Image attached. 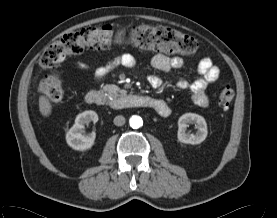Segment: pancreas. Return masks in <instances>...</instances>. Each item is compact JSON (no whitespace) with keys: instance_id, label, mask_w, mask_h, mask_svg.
<instances>
[{"instance_id":"pancreas-1","label":"pancreas","mask_w":277,"mask_h":218,"mask_svg":"<svg viewBox=\"0 0 277 218\" xmlns=\"http://www.w3.org/2000/svg\"><path fill=\"white\" fill-rule=\"evenodd\" d=\"M103 91L108 93V95L112 98H117L119 96L126 95L127 91L124 89H120L115 84H106L102 87Z\"/></svg>"}]
</instances>
